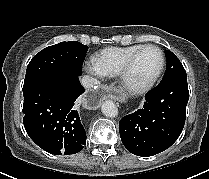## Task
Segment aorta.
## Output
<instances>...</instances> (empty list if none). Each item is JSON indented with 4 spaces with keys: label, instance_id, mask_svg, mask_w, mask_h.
<instances>
[{
    "label": "aorta",
    "instance_id": "1",
    "mask_svg": "<svg viewBox=\"0 0 209 179\" xmlns=\"http://www.w3.org/2000/svg\"><path fill=\"white\" fill-rule=\"evenodd\" d=\"M102 113L107 117H116L118 115V109L114 102L107 100L103 102L102 106Z\"/></svg>",
    "mask_w": 209,
    "mask_h": 179
}]
</instances>
